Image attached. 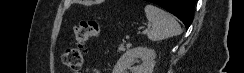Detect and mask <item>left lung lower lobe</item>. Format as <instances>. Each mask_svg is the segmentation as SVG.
Returning <instances> with one entry per match:
<instances>
[{"label":"left lung lower lobe","instance_id":"obj_1","mask_svg":"<svg viewBox=\"0 0 244 73\" xmlns=\"http://www.w3.org/2000/svg\"><path fill=\"white\" fill-rule=\"evenodd\" d=\"M177 16L188 28L193 20L196 0H148Z\"/></svg>","mask_w":244,"mask_h":73}]
</instances>
